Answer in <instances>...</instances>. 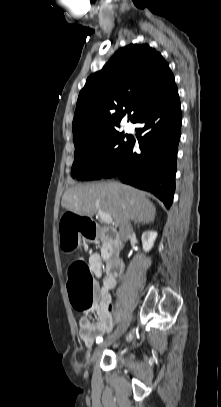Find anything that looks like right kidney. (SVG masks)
Wrapping results in <instances>:
<instances>
[{
  "label": "right kidney",
  "instance_id": "right-kidney-1",
  "mask_svg": "<svg viewBox=\"0 0 221 407\" xmlns=\"http://www.w3.org/2000/svg\"><path fill=\"white\" fill-rule=\"evenodd\" d=\"M157 237L156 231H146L142 234V245L143 250L148 252L153 247L154 241Z\"/></svg>",
  "mask_w": 221,
  "mask_h": 407
}]
</instances>
